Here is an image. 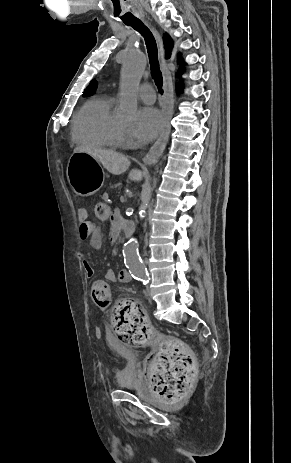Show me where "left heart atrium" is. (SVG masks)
I'll use <instances>...</instances> for the list:
<instances>
[{
    "label": "left heart atrium",
    "mask_w": 291,
    "mask_h": 463,
    "mask_svg": "<svg viewBox=\"0 0 291 463\" xmlns=\"http://www.w3.org/2000/svg\"><path fill=\"white\" fill-rule=\"evenodd\" d=\"M164 128L163 116L152 107L139 110L135 126V134L140 141H149L159 135Z\"/></svg>",
    "instance_id": "obj_1"
}]
</instances>
